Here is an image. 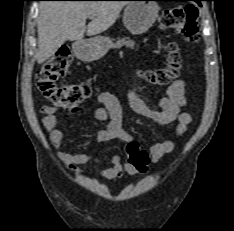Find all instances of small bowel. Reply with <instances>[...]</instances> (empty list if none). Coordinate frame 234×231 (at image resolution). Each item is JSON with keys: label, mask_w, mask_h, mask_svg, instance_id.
<instances>
[{"label": "small bowel", "mask_w": 234, "mask_h": 231, "mask_svg": "<svg viewBox=\"0 0 234 231\" xmlns=\"http://www.w3.org/2000/svg\"><path fill=\"white\" fill-rule=\"evenodd\" d=\"M142 89L131 88L127 93V100L132 110L147 119H150L168 129L176 123L175 134L182 136L191 123V116L182 111L187 104L185 84L182 80H175L168 88L167 95L152 97L157 101L158 110L151 109L141 97ZM101 104L94 112L95 117L100 121H107L105 129L97 133L99 142H108L114 139L128 143L132 140L131 135L123 128L122 110L119 100L112 94L104 92L98 96ZM43 114L42 124L49 135L50 143L57 151L59 160L69 169L75 172H82L79 166L86 165L95 160L93 153H68L60 151L64 138V132L59 128L62 118L57 115L56 109L45 105L41 108ZM175 143L170 140L157 141L150 147V156L153 163L159 162L163 156L173 152ZM111 167L99 172V175L108 180H116L125 174L136 173L137 170L130 163H122L118 155L110 159Z\"/></svg>", "instance_id": "obj_1"}]
</instances>
